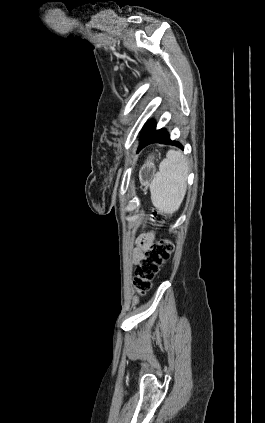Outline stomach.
I'll list each match as a JSON object with an SVG mask.
<instances>
[{"label": "stomach", "instance_id": "stomach-1", "mask_svg": "<svg viewBox=\"0 0 265 423\" xmlns=\"http://www.w3.org/2000/svg\"><path fill=\"white\" fill-rule=\"evenodd\" d=\"M153 156H151V157H149V160L147 161V163L144 165V167H143V174L147 177L149 174H150V172L153 170V168H154V166H153V162H152V160H153Z\"/></svg>", "mask_w": 265, "mask_h": 423}]
</instances>
